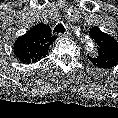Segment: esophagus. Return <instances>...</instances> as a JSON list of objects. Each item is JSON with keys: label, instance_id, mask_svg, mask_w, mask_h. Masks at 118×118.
Returning a JSON list of instances; mask_svg holds the SVG:
<instances>
[{"label": "esophagus", "instance_id": "obj_1", "mask_svg": "<svg viewBox=\"0 0 118 118\" xmlns=\"http://www.w3.org/2000/svg\"><path fill=\"white\" fill-rule=\"evenodd\" d=\"M57 35H58V37H68L71 34L69 32H66L65 34L58 33Z\"/></svg>", "mask_w": 118, "mask_h": 118}]
</instances>
